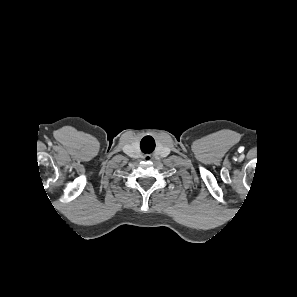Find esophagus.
I'll return each instance as SVG.
<instances>
[{"instance_id": "obj_1", "label": "esophagus", "mask_w": 297, "mask_h": 297, "mask_svg": "<svg viewBox=\"0 0 297 297\" xmlns=\"http://www.w3.org/2000/svg\"><path fill=\"white\" fill-rule=\"evenodd\" d=\"M151 159V156H146V160H150Z\"/></svg>"}]
</instances>
